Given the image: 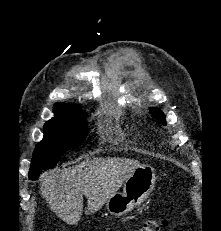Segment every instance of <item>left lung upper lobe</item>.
<instances>
[{"label": "left lung upper lobe", "mask_w": 221, "mask_h": 231, "mask_svg": "<svg viewBox=\"0 0 221 231\" xmlns=\"http://www.w3.org/2000/svg\"><path fill=\"white\" fill-rule=\"evenodd\" d=\"M151 114L163 125H166L164 113L157 108H150Z\"/></svg>", "instance_id": "5c2ea615"}]
</instances>
